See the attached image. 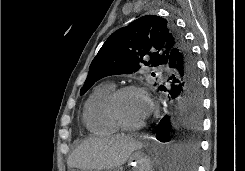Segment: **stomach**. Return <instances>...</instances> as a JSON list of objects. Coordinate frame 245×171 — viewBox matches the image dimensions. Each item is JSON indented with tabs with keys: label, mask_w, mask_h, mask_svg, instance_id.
<instances>
[{
	"label": "stomach",
	"mask_w": 245,
	"mask_h": 171,
	"mask_svg": "<svg viewBox=\"0 0 245 171\" xmlns=\"http://www.w3.org/2000/svg\"><path fill=\"white\" fill-rule=\"evenodd\" d=\"M131 163L134 164V171H153L154 161L151 160L143 150H138L134 152L131 156ZM69 171H79L76 169H70ZM84 171V170H81ZM90 171V170H89ZM113 171H119V169H114Z\"/></svg>",
	"instance_id": "stomach-1"
}]
</instances>
